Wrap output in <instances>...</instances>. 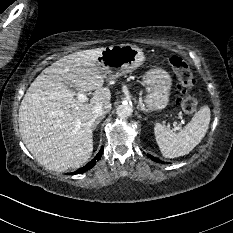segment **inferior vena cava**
Wrapping results in <instances>:
<instances>
[{
	"mask_svg": "<svg viewBox=\"0 0 233 233\" xmlns=\"http://www.w3.org/2000/svg\"><path fill=\"white\" fill-rule=\"evenodd\" d=\"M111 108H112V105L110 101L97 103L92 109V114L94 117L103 116L107 114L108 112H110Z\"/></svg>",
	"mask_w": 233,
	"mask_h": 233,
	"instance_id": "1",
	"label": "inferior vena cava"
}]
</instances>
